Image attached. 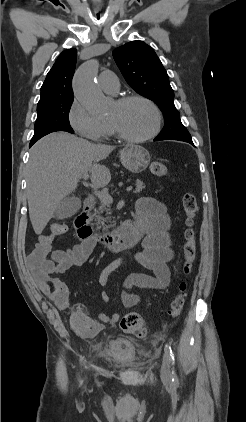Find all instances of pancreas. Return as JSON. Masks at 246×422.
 Here are the masks:
<instances>
[{
	"mask_svg": "<svg viewBox=\"0 0 246 422\" xmlns=\"http://www.w3.org/2000/svg\"><path fill=\"white\" fill-rule=\"evenodd\" d=\"M144 188L145 186L143 182L137 179L135 192H140ZM110 214V203L100 200L99 208L95 211V214L93 215L96 221L97 230L108 231L110 227L115 226L114 222L111 221ZM105 222L109 223V225H106Z\"/></svg>",
	"mask_w": 246,
	"mask_h": 422,
	"instance_id": "pancreas-1",
	"label": "pancreas"
}]
</instances>
